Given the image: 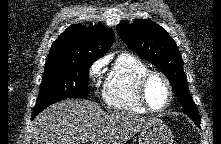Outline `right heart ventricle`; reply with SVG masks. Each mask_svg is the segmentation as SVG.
<instances>
[{
  "instance_id": "e07e8e85",
  "label": "right heart ventricle",
  "mask_w": 221,
  "mask_h": 144,
  "mask_svg": "<svg viewBox=\"0 0 221 144\" xmlns=\"http://www.w3.org/2000/svg\"><path fill=\"white\" fill-rule=\"evenodd\" d=\"M147 70V66L138 58L121 54L112 63L104 88L103 100L112 109L143 114L147 110L140 104L136 82L138 77Z\"/></svg>"
}]
</instances>
